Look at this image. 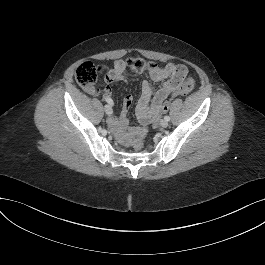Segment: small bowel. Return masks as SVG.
<instances>
[{
    "mask_svg": "<svg viewBox=\"0 0 265 265\" xmlns=\"http://www.w3.org/2000/svg\"><path fill=\"white\" fill-rule=\"evenodd\" d=\"M100 72H106L107 85L99 91L97 88L89 90L93 95L102 93L104 99L112 100L111 84L125 79V73L128 68L127 63L123 60L114 62L111 68L105 65L98 66ZM187 74L184 65L168 63L164 66H156L150 70V78L154 82H162L161 87L155 92L153 85L144 80L141 85V95L137 105L139 119L143 123L151 121L158 113L159 107L168 98V96L179 86ZM113 101V100H112ZM133 98L128 95L124 98L123 108L118 118L113 116L107 119L108 125L114 130H120L127 123V113L132 106Z\"/></svg>",
    "mask_w": 265,
    "mask_h": 265,
    "instance_id": "c3829d8e",
    "label": "small bowel"
}]
</instances>
